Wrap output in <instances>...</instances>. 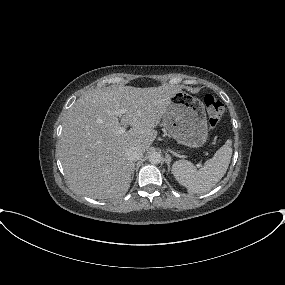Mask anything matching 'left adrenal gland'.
Returning a JSON list of instances; mask_svg holds the SVG:
<instances>
[{"mask_svg":"<svg viewBox=\"0 0 285 285\" xmlns=\"http://www.w3.org/2000/svg\"><path fill=\"white\" fill-rule=\"evenodd\" d=\"M170 162H171V156L169 154H166V163L168 166V171H170Z\"/></svg>","mask_w":285,"mask_h":285,"instance_id":"1","label":"left adrenal gland"}]
</instances>
